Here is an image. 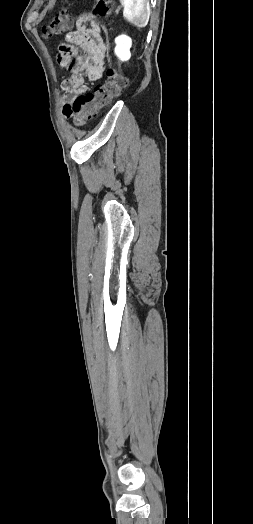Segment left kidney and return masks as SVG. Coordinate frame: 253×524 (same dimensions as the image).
Wrapping results in <instances>:
<instances>
[{"instance_id":"left-kidney-1","label":"left kidney","mask_w":253,"mask_h":524,"mask_svg":"<svg viewBox=\"0 0 253 524\" xmlns=\"http://www.w3.org/2000/svg\"><path fill=\"white\" fill-rule=\"evenodd\" d=\"M116 47L115 54L121 61H127L131 57L130 48L132 40L126 36L121 35L115 39Z\"/></svg>"}]
</instances>
